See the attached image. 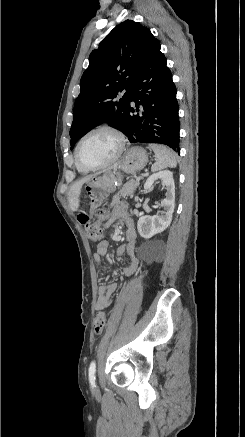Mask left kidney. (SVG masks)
I'll use <instances>...</instances> for the list:
<instances>
[{
	"instance_id": "5707ae66",
	"label": "left kidney",
	"mask_w": 245,
	"mask_h": 437,
	"mask_svg": "<svg viewBox=\"0 0 245 437\" xmlns=\"http://www.w3.org/2000/svg\"><path fill=\"white\" fill-rule=\"evenodd\" d=\"M161 179L162 185L166 189V198L160 206L163 208L160 215L142 216L137 222V229L141 237L150 239L156 234L163 232L172 221V214L175 208V184L173 173L169 170L160 171L152 174L145 182L144 189L152 190L156 180Z\"/></svg>"
}]
</instances>
